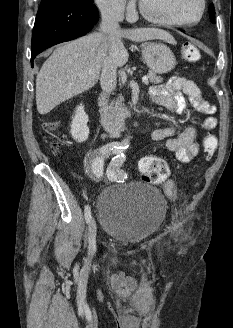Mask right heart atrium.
<instances>
[{
  "label": "right heart atrium",
  "mask_w": 233,
  "mask_h": 328,
  "mask_svg": "<svg viewBox=\"0 0 233 328\" xmlns=\"http://www.w3.org/2000/svg\"><path fill=\"white\" fill-rule=\"evenodd\" d=\"M101 14L113 20H120L131 13L133 4L130 0H94Z\"/></svg>",
  "instance_id": "d8ad5b80"
}]
</instances>
